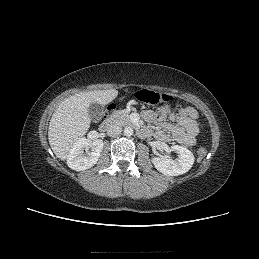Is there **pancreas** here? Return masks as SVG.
Segmentation results:
<instances>
[{"instance_id": "cf45deb5", "label": "pancreas", "mask_w": 259, "mask_h": 259, "mask_svg": "<svg viewBox=\"0 0 259 259\" xmlns=\"http://www.w3.org/2000/svg\"><path fill=\"white\" fill-rule=\"evenodd\" d=\"M111 120L117 122L120 125H128L131 124V120L129 118V114L124 110L115 111L111 117Z\"/></svg>"}]
</instances>
